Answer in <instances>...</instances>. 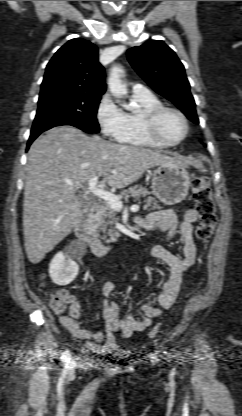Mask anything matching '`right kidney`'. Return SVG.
<instances>
[{
	"instance_id": "1",
	"label": "right kidney",
	"mask_w": 242,
	"mask_h": 416,
	"mask_svg": "<svg viewBox=\"0 0 242 416\" xmlns=\"http://www.w3.org/2000/svg\"><path fill=\"white\" fill-rule=\"evenodd\" d=\"M78 271V264L63 252L57 253L49 266L52 281L60 286L71 283L76 278Z\"/></svg>"
}]
</instances>
